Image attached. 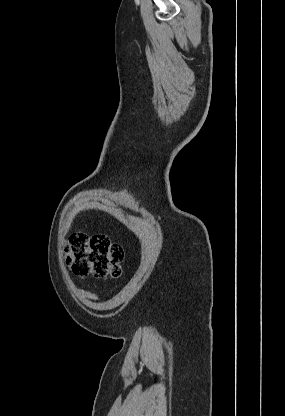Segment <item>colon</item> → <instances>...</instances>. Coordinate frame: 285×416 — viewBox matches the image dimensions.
I'll return each mask as SVG.
<instances>
[{
    "mask_svg": "<svg viewBox=\"0 0 285 416\" xmlns=\"http://www.w3.org/2000/svg\"><path fill=\"white\" fill-rule=\"evenodd\" d=\"M67 264L77 276L119 277L124 249L103 234H73L65 248Z\"/></svg>",
    "mask_w": 285,
    "mask_h": 416,
    "instance_id": "obj_1",
    "label": "colon"
}]
</instances>
